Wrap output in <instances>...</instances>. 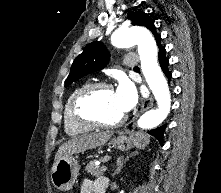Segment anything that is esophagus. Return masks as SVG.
Returning <instances> with one entry per match:
<instances>
[{
    "mask_svg": "<svg viewBox=\"0 0 221 193\" xmlns=\"http://www.w3.org/2000/svg\"><path fill=\"white\" fill-rule=\"evenodd\" d=\"M153 101H154V99L151 95L148 99H146L143 102L140 111L133 117L131 122L126 126V129H129V128H132L135 126L138 117L153 105Z\"/></svg>",
    "mask_w": 221,
    "mask_h": 193,
    "instance_id": "esophagus-1",
    "label": "esophagus"
}]
</instances>
